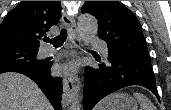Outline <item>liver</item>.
Returning a JSON list of instances; mask_svg holds the SVG:
<instances>
[{
  "label": "liver",
  "mask_w": 171,
  "mask_h": 110,
  "mask_svg": "<svg viewBox=\"0 0 171 110\" xmlns=\"http://www.w3.org/2000/svg\"><path fill=\"white\" fill-rule=\"evenodd\" d=\"M0 110H53V108L31 79L19 73L8 72L0 74Z\"/></svg>",
  "instance_id": "1"
}]
</instances>
